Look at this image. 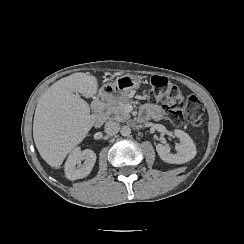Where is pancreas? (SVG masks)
Segmentation results:
<instances>
[{
	"instance_id": "obj_1",
	"label": "pancreas",
	"mask_w": 244,
	"mask_h": 244,
	"mask_svg": "<svg viewBox=\"0 0 244 244\" xmlns=\"http://www.w3.org/2000/svg\"><path fill=\"white\" fill-rule=\"evenodd\" d=\"M129 98L124 100H112L108 102L106 117L118 122H123L131 118L130 114L124 109V106L129 104Z\"/></svg>"
}]
</instances>
